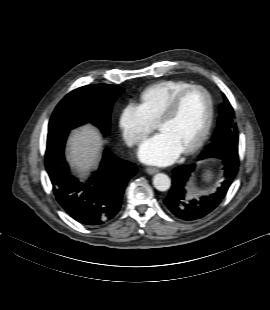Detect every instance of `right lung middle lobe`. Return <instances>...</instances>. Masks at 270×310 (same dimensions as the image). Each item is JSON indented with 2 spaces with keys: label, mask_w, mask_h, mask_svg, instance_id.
Returning a JSON list of instances; mask_svg holds the SVG:
<instances>
[{
  "label": "right lung middle lobe",
  "mask_w": 270,
  "mask_h": 310,
  "mask_svg": "<svg viewBox=\"0 0 270 310\" xmlns=\"http://www.w3.org/2000/svg\"><path fill=\"white\" fill-rule=\"evenodd\" d=\"M123 92V88L108 84L87 85L73 90L55 108L48 131L68 134L72 128L90 122L108 134L113 103Z\"/></svg>",
  "instance_id": "1"
}]
</instances>
